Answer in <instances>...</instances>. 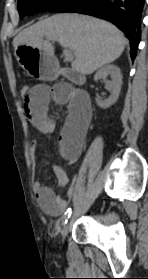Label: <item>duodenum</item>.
I'll use <instances>...</instances> for the list:
<instances>
[{
    "mask_svg": "<svg viewBox=\"0 0 148 279\" xmlns=\"http://www.w3.org/2000/svg\"><path fill=\"white\" fill-rule=\"evenodd\" d=\"M61 76L67 78L69 81L71 82H82L83 81V75L79 72H76L70 68H67V67H63L61 69V72H60Z\"/></svg>",
    "mask_w": 148,
    "mask_h": 279,
    "instance_id": "410a0bca",
    "label": "duodenum"
}]
</instances>
